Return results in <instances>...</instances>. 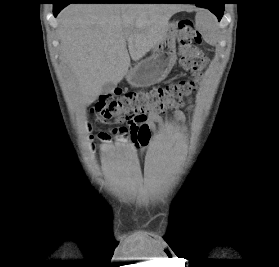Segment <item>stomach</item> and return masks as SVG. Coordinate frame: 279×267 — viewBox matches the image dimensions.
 Returning a JSON list of instances; mask_svg holds the SVG:
<instances>
[{
	"mask_svg": "<svg viewBox=\"0 0 279 267\" xmlns=\"http://www.w3.org/2000/svg\"><path fill=\"white\" fill-rule=\"evenodd\" d=\"M177 26L170 23L163 39L154 47L151 57L141 61L126 73L133 87H148L163 81L176 62L175 39Z\"/></svg>",
	"mask_w": 279,
	"mask_h": 267,
	"instance_id": "0dacf381",
	"label": "stomach"
}]
</instances>
